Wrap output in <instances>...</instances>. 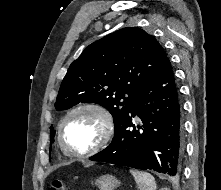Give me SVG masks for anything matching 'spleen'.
I'll return each mask as SVG.
<instances>
[{"instance_id": "obj_1", "label": "spleen", "mask_w": 221, "mask_h": 190, "mask_svg": "<svg viewBox=\"0 0 221 190\" xmlns=\"http://www.w3.org/2000/svg\"><path fill=\"white\" fill-rule=\"evenodd\" d=\"M130 173L133 175L139 190H156V182L150 173L130 169Z\"/></svg>"}]
</instances>
